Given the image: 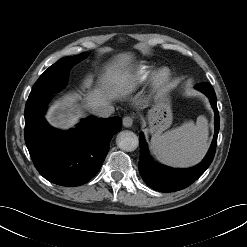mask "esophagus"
I'll use <instances>...</instances> for the list:
<instances>
[{
	"label": "esophagus",
	"mask_w": 247,
	"mask_h": 247,
	"mask_svg": "<svg viewBox=\"0 0 247 247\" xmlns=\"http://www.w3.org/2000/svg\"><path fill=\"white\" fill-rule=\"evenodd\" d=\"M133 117H131V116H125L124 118H123V125L125 126V127H131L132 125H133Z\"/></svg>",
	"instance_id": "1"
}]
</instances>
